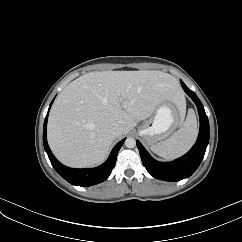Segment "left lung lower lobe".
<instances>
[{"instance_id": "obj_1", "label": "left lung lower lobe", "mask_w": 242, "mask_h": 242, "mask_svg": "<svg viewBox=\"0 0 242 242\" xmlns=\"http://www.w3.org/2000/svg\"><path fill=\"white\" fill-rule=\"evenodd\" d=\"M181 85L184 91L195 102L199 113L200 131L195 145L184 156L172 162H159L153 159L143 145L137 141V147L143 165L149 174L154 178L164 181H179L190 177L200 165L209 142V122L204 107L193 91H191L183 82H181Z\"/></svg>"}]
</instances>
